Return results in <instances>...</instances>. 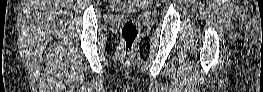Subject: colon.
Segmentation results:
<instances>
[{"label": "colon", "mask_w": 263, "mask_h": 92, "mask_svg": "<svg viewBox=\"0 0 263 92\" xmlns=\"http://www.w3.org/2000/svg\"><path fill=\"white\" fill-rule=\"evenodd\" d=\"M112 3L119 4L120 1H112ZM121 33L123 37L122 50L127 52L137 38V22L134 19H127L122 26Z\"/></svg>", "instance_id": "colon-1"}]
</instances>
